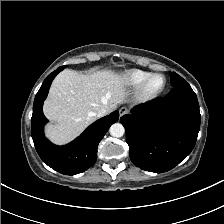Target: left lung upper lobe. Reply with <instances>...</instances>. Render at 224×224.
<instances>
[{
	"label": "left lung upper lobe",
	"instance_id": "5c2ea615",
	"mask_svg": "<svg viewBox=\"0 0 224 224\" xmlns=\"http://www.w3.org/2000/svg\"><path fill=\"white\" fill-rule=\"evenodd\" d=\"M186 82L181 76L176 74L175 72L171 73V85L173 87Z\"/></svg>",
	"mask_w": 224,
	"mask_h": 224
}]
</instances>
